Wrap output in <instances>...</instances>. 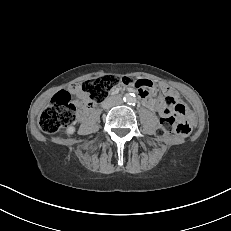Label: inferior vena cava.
I'll return each instance as SVG.
<instances>
[{
    "instance_id": "inferior-vena-cava-1",
    "label": "inferior vena cava",
    "mask_w": 231,
    "mask_h": 231,
    "mask_svg": "<svg viewBox=\"0 0 231 231\" xmlns=\"http://www.w3.org/2000/svg\"><path fill=\"white\" fill-rule=\"evenodd\" d=\"M112 106V104H108V105H104V107H111Z\"/></svg>"
}]
</instances>
